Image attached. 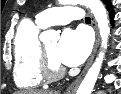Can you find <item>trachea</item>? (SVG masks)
<instances>
[{
    "label": "trachea",
    "mask_w": 121,
    "mask_h": 94,
    "mask_svg": "<svg viewBox=\"0 0 121 94\" xmlns=\"http://www.w3.org/2000/svg\"><path fill=\"white\" fill-rule=\"evenodd\" d=\"M85 21H86V22H89V21H91V19H90L89 17H86V18H85Z\"/></svg>",
    "instance_id": "trachea-1"
}]
</instances>
